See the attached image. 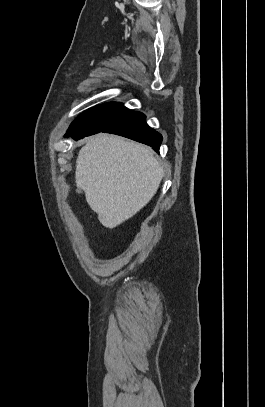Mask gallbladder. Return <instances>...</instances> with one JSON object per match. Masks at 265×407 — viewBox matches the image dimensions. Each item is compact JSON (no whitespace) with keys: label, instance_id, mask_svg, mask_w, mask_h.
I'll use <instances>...</instances> for the list:
<instances>
[{"label":"gallbladder","instance_id":"1","mask_svg":"<svg viewBox=\"0 0 265 407\" xmlns=\"http://www.w3.org/2000/svg\"><path fill=\"white\" fill-rule=\"evenodd\" d=\"M76 192L80 194V193H82V190L79 188L76 190Z\"/></svg>","mask_w":265,"mask_h":407}]
</instances>
